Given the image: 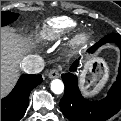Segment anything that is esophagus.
<instances>
[{"mask_svg": "<svg viewBox=\"0 0 121 121\" xmlns=\"http://www.w3.org/2000/svg\"><path fill=\"white\" fill-rule=\"evenodd\" d=\"M59 76H60V73L58 69H52L48 74V77L50 79H55V78H58Z\"/></svg>", "mask_w": 121, "mask_h": 121, "instance_id": "esophagus-1", "label": "esophagus"}]
</instances>
